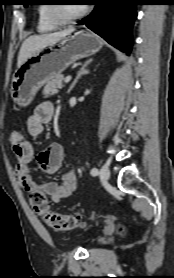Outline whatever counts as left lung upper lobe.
Listing matches in <instances>:
<instances>
[{"label": "left lung upper lobe", "instance_id": "5c2ea615", "mask_svg": "<svg viewBox=\"0 0 174 278\" xmlns=\"http://www.w3.org/2000/svg\"><path fill=\"white\" fill-rule=\"evenodd\" d=\"M24 5H25V6H28L29 4H28V3H25Z\"/></svg>", "mask_w": 174, "mask_h": 278}]
</instances>
